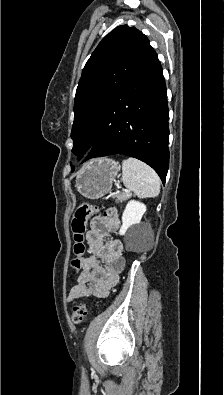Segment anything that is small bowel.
Masks as SVG:
<instances>
[{
	"label": "small bowel",
	"instance_id": "obj_1",
	"mask_svg": "<svg viewBox=\"0 0 224 395\" xmlns=\"http://www.w3.org/2000/svg\"><path fill=\"white\" fill-rule=\"evenodd\" d=\"M119 223L114 209H109L105 216L95 217L91 221L87 233L89 255L81 258V272L69 292V302L90 294L104 298L118 282L125 267L123 245L116 238L106 241L105 236L109 231L117 229Z\"/></svg>",
	"mask_w": 224,
	"mask_h": 395
}]
</instances>
